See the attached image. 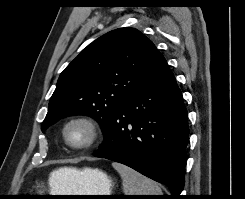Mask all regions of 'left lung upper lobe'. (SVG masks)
I'll return each instance as SVG.
<instances>
[{
  "instance_id": "obj_1",
  "label": "left lung upper lobe",
  "mask_w": 245,
  "mask_h": 199,
  "mask_svg": "<svg viewBox=\"0 0 245 199\" xmlns=\"http://www.w3.org/2000/svg\"><path fill=\"white\" fill-rule=\"evenodd\" d=\"M162 59L155 45L134 28L96 39L60 74L42 131L79 114L97 120L104 131L114 110L151 77Z\"/></svg>"
}]
</instances>
